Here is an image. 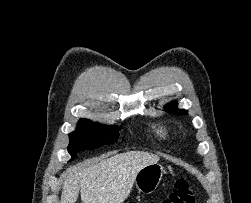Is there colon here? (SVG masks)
<instances>
[{
    "label": "colon",
    "instance_id": "colon-1",
    "mask_svg": "<svg viewBox=\"0 0 251 203\" xmlns=\"http://www.w3.org/2000/svg\"><path fill=\"white\" fill-rule=\"evenodd\" d=\"M196 189L193 184L186 180L180 179L175 183L173 191L160 203H194Z\"/></svg>",
    "mask_w": 251,
    "mask_h": 203
}]
</instances>
